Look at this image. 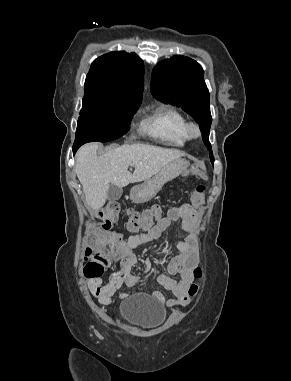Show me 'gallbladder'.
Listing matches in <instances>:
<instances>
[{
	"label": "gallbladder",
	"instance_id": "gallbladder-1",
	"mask_svg": "<svg viewBox=\"0 0 291 381\" xmlns=\"http://www.w3.org/2000/svg\"><path fill=\"white\" fill-rule=\"evenodd\" d=\"M123 190L122 188L110 185L108 193H107V199L109 201H116L122 196Z\"/></svg>",
	"mask_w": 291,
	"mask_h": 381
}]
</instances>
